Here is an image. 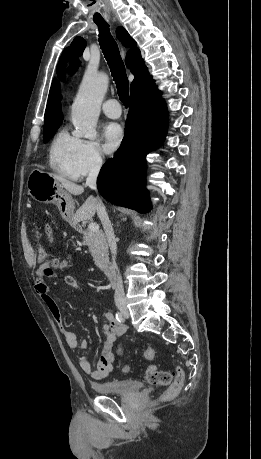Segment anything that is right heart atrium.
I'll return each instance as SVG.
<instances>
[{"label": "right heart atrium", "instance_id": "d8ad5b80", "mask_svg": "<svg viewBox=\"0 0 261 459\" xmlns=\"http://www.w3.org/2000/svg\"><path fill=\"white\" fill-rule=\"evenodd\" d=\"M104 164V157L97 142L79 139L75 157V170L78 177L97 172Z\"/></svg>", "mask_w": 261, "mask_h": 459}]
</instances>
